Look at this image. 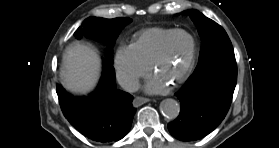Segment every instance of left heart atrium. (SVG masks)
Listing matches in <instances>:
<instances>
[{
    "mask_svg": "<svg viewBox=\"0 0 279 148\" xmlns=\"http://www.w3.org/2000/svg\"><path fill=\"white\" fill-rule=\"evenodd\" d=\"M168 88V82L163 81L156 75L145 86V90L149 93H162Z\"/></svg>",
    "mask_w": 279,
    "mask_h": 148,
    "instance_id": "obj_1",
    "label": "left heart atrium"
}]
</instances>
